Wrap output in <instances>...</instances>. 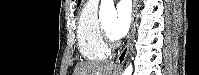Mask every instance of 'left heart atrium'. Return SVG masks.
Returning a JSON list of instances; mask_svg holds the SVG:
<instances>
[{
    "label": "left heart atrium",
    "instance_id": "obj_1",
    "mask_svg": "<svg viewBox=\"0 0 199 75\" xmlns=\"http://www.w3.org/2000/svg\"><path fill=\"white\" fill-rule=\"evenodd\" d=\"M131 24L130 7L127 1H121L117 6V18L110 27V35L113 39L124 37Z\"/></svg>",
    "mask_w": 199,
    "mask_h": 75
}]
</instances>
